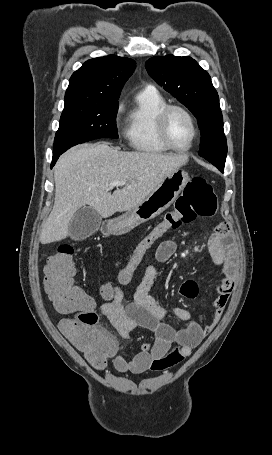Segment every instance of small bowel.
<instances>
[{
	"instance_id": "small-bowel-1",
	"label": "small bowel",
	"mask_w": 272,
	"mask_h": 455,
	"mask_svg": "<svg viewBox=\"0 0 272 455\" xmlns=\"http://www.w3.org/2000/svg\"><path fill=\"white\" fill-rule=\"evenodd\" d=\"M209 251L214 263L221 267L222 279L216 290L217 295L213 302V314L206 325L191 320V314L183 308L166 310L161 307L150 294L157 269L154 264L149 265L142 279L136 287L133 302L123 306V285L114 284L112 295L104 298L100 312L106 316L119 335L130 339L136 329H145L155 336L153 344L145 343L140 351L130 360L123 355L115 358V366L122 373L140 374L145 371H164L174 367L188 357L202 340L218 324L233 289L237 268L234 243L229 226L220 223L208 242ZM177 244L168 239L160 243L156 251L159 262L167 261L176 251ZM131 254L125 257L129 259ZM180 294L188 299L197 297L199 289L195 281L189 280L180 286ZM169 316H174L186 322L180 329H174L167 322Z\"/></svg>"
}]
</instances>
